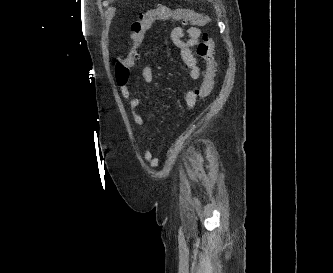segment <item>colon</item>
<instances>
[{
	"instance_id": "5ec220e1",
	"label": "colon",
	"mask_w": 333,
	"mask_h": 273,
	"mask_svg": "<svg viewBox=\"0 0 333 273\" xmlns=\"http://www.w3.org/2000/svg\"><path fill=\"white\" fill-rule=\"evenodd\" d=\"M160 20H183L199 26H204L210 22V18L207 15L187 9L173 10L165 6H159L143 13L131 25V47L129 51L115 61L116 80L121 86L126 85L129 81L131 70L138 56V49L146 33L155 22ZM197 54L206 64L203 79L197 91L199 99L204 100L212 93L215 87L218 66L215 57V40L208 34L203 35V39L197 47Z\"/></svg>"
}]
</instances>
